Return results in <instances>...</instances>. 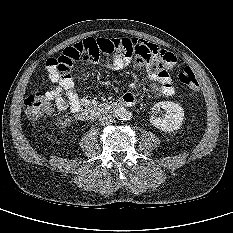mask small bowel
I'll use <instances>...</instances> for the list:
<instances>
[{
	"label": "small bowel",
	"mask_w": 233,
	"mask_h": 233,
	"mask_svg": "<svg viewBox=\"0 0 233 233\" xmlns=\"http://www.w3.org/2000/svg\"><path fill=\"white\" fill-rule=\"evenodd\" d=\"M132 46L131 55L117 54L110 62H103L102 66L120 71L131 65L136 69L147 68L149 85L146 95L150 98L159 96L171 97L175 94L170 71L176 65V56L157 45L144 40H128ZM49 79L57 84V87L50 91L54 94L56 106L59 110L69 109L78 118L84 119L81 111L91 104V98L80 97L74 90V80L71 74L61 75L54 65L52 59L47 61ZM136 94L125 93L123 98L135 99Z\"/></svg>",
	"instance_id": "c3829d8e"
}]
</instances>
